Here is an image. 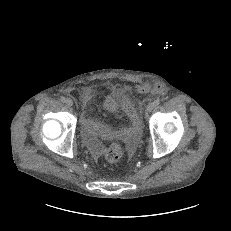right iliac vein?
<instances>
[{"label":"right iliac vein","mask_w":231,"mask_h":231,"mask_svg":"<svg viewBox=\"0 0 231 231\" xmlns=\"http://www.w3.org/2000/svg\"><path fill=\"white\" fill-rule=\"evenodd\" d=\"M66 104L68 105V106H73V101H72V99H70V98H67L66 99Z\"/></svg>","instance_id":"right-iliac-vein-1"}]
</instances>
